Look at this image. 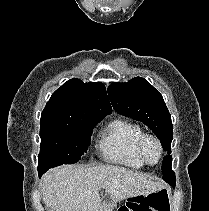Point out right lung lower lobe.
Returning <instances> with one entry per match:
<instances>
[{
  "instance_id": "1",
  "label": "right lung lower lobe",
  "mask_w": 209,
  "mask_h": 211,
  "mask_svg": "<svg viewBox=\"0 0 209 211\" xmlns=\"http://www.w3.org/2000/svg\"><path fill=\"white\" fill-rule=\"evenodd\" d=\"M43 173H44L43 171H39V170H38L39 177H40Z\"/></svg>"
}]
</instances>
